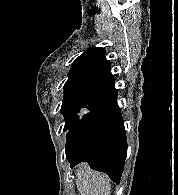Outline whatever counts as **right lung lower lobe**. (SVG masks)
<instances>
[{
  "label": "right lung lower lobe",
  "instance_id": "obj_1",
  "mask_svg": "<svg viewBox=\"0 0 178 195\" xmlns=\"http://www.w3.org/2000/svg\"><path fill=\"white\" fill-rule=\"evenodd\" d=\"M115 88L96 97L92 106L66 140V157L71 167L87 162L120 182L127 155L124 121L116 103Z\"/></svg>",
  "mask_w": 178,
  "mask_h": 195
}]
</instances>
